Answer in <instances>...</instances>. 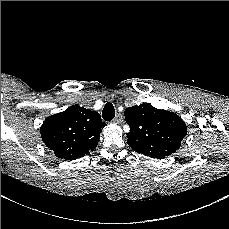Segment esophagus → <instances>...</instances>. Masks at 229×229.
Here are the masks:
<instances>
[{
  "instance_id": "esophagus-1",
  "label": "esophagus",
  "mask_w": 229,
  "mask_h": 229,
  "mask_svg": "<svg viewBox=\"0 0 229 229\" xmlns=\"http://www.w3.org/2000/svg\"><path fill=\"white\" fill-rule=\"evenodd\" d=\"M113 122L116 124H121L123 122V117L121 114H117L113 119Z\"/></svg>"
}]
</instances>
